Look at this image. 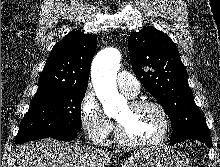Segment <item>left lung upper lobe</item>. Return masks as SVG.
<instances>
[{"instance_id":"obj_1","label":"left lung upper lobe","mask_w":220,"mask_h":167,"mask_svg":"<svg viewBox=\"0 0 220 167\" xmlns=\"http://www.w3.org/2000/svg\"><path fill=\"white\" fill-rule=\"evenodd\" d=\"M132 69L171 120V141L210 136L194 102L187 72L174 42L153 27L133 32L128 44Z\"/></svg>"}]
</instances>
